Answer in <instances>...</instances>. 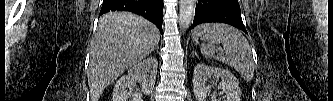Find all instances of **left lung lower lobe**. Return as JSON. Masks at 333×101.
I'll return each mask as SVG.
<instances>
[{
  "label": "left lung lower lobe",
  "mask_w": 333,
  "mask_h": 101,
  "mask_svg": "<svg viewBox=\"0 0 333 101\" xmlns=\"http://www.w3.org/2000/svg\"><path fill=\"white\" fill-rule=\"evenodd\" d=\"M206 22L226 23L247 33L238 0H198L191 29Z\"/></svg>",
  "instance_id": "0a47b994"
}]
</instances>
